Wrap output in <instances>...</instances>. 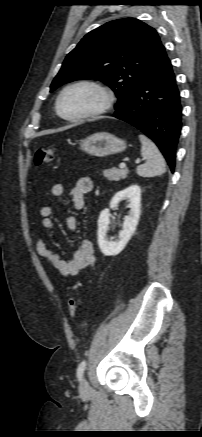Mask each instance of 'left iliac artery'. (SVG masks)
Returning a JSON list of instances; mask_svg holds the SVG:
<instances>
[{
	"label": "left iliac artery",
	"instance_id": "left-iliac-artery-1",
	"mask_svg": "<svg viewBox=\"0 0 202 437\" xmlns=\"http://www.w3.org/2000/svg\"><path fill=\"white\" fill-rule=\"evenodd\" d=\"M85 367H86V361L83 360V361L79 364V366H78V368H77V378H78V380H81V379H82V376H83V373H84Z\"/></svg>",
	"mask_w": 202,
	"mask_h": 437
}]
</instances>
